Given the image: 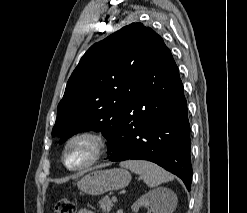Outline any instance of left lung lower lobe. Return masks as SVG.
<instances>
[{
	"label": "left lung lower lobe",
	"instance_id": "left-lung-lower-lobe-1",
	"mask_svg": "<svg viewBox=\"0 0 247 213\" xmlns=\"http://www.w3.org/2000/svg\"><path fill=\"white\" fill-rule=\"evenodd\" d=\"M190 125L178 68L169 52L149 69L120 120L109 160L152 161L191 189Z\"/></svg>",
	"mask_w": 247,
	"mask_h": 213
}]
</instances>
